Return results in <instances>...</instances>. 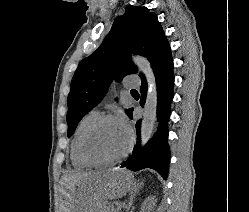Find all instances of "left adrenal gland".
Segmentation results:
<instances>
[{
	"mask_svg": "<svg viewBox=\"0 0 249 212\" xmlns=\"http://www.w3.org/2000/svg\"><path fill=\"white\" fill-rule=\"evenodd\" d=\"M142 184H143V182H140V184H138V186L135 190V196H136V194H139ZM133 202H134V194H130L128 206H126V208H125L126 212H129V210H131V208H133Z\"/></svg>",
	"mask_w": 249,
	"mask_h": 212,
	"instance_id": "1",
	"label": "left adrenal gland"
}]
</instances>
